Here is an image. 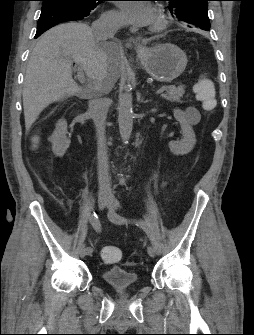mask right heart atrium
Masks as SVG:
<instances>
[{
	"mask_svg": "<svg viewBox=\"0 0 254 335\" xmlns=\"http://www.w3.org/2000/svg\"><path fill=\"white\" fill-rule=\"evenodd\" d=\"M101 21L105 23H120L122 16L118 11L110 10L101 16Z\"/></svg>",
	"mask_w": 254,
	"mask_h": 335,
	"instance_id": "1",
	"label": "right heart atrium"
}]
</instances>
